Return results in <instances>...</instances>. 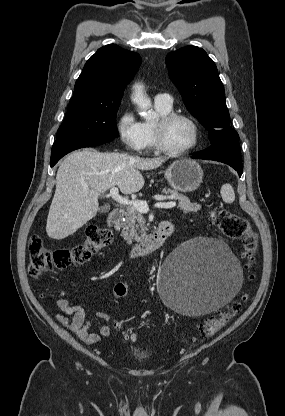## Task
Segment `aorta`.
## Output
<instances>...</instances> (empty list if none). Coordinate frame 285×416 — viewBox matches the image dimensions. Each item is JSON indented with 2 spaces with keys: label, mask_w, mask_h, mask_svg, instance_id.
Listing matches in <instances>:
<instances>
[{
  "label": "aorta",
  "mask_w": 285,
  "mask_h": 416,
  "mask_svg": "<svg viewBox=\"0 0 285 416\" xmlns=\"http://www.w3.org/2000/svg\"><path fill=\"white\" fill-rule=\"evenodd\" d=\"M132 100L141 110L145 119L151 120L154 118L155 114L149 110L151 107V101L146 96L143 85L136 84L134 86V95Z\"/></svg>",
  "instance_id": "aorta-1"
}]
</instances>
